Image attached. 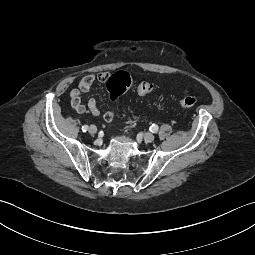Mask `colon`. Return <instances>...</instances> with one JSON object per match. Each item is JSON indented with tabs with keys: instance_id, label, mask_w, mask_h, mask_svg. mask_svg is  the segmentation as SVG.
Wrapping results in <instances>:
<instances>
[{
	"instance_id": "1",
	"label": "colon",
	"mask_w": 255,
	"mask_h": 255,
	"mask_svg": "<svg viewBox=\"0 0 255 255\" xmlns=\"http://www.w3.org/2000/svg\"><path fill=\"white\" fill-rule=\"evenodd\" d=\"M131 88H134L139 95H146L153 91L154 86L148 82H141L134 85L130 75L124 71L114 73L107 81L108 93L113 101H116L123 93ZM196 104L197 99L193 96H186L179 100V105L183 108H193Z\"/></svg>"
}]
</instances>
